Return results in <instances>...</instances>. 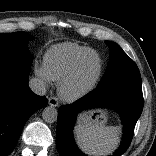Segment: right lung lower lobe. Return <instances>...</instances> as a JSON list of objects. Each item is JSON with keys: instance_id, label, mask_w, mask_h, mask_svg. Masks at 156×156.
Listing matches in <instances>:
<instances>
[{"instance_id": "1", "label": "right lung lower lobe", "mask_w": 156, "mask_h": 156, "mask_svg": "<svg viewBox=\"0 0 156 156\" xmlns=\"http://www.w3.org/2000/svg\"><path fill=\"white\" fill-rule=\"evenodd\" d=\"M30 66L0 61V156H7L16 146L29 117L48 100L28 87Z\"/></svg>"}]
</instances>
